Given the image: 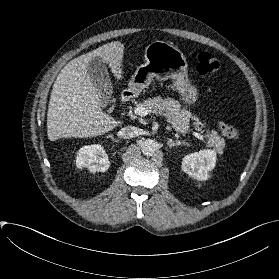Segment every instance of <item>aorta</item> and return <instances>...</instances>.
<instances>
[{
	"instance_id": "aorta-1",
	"label": "aorta",
	"mask_w": 279,
	"mask_h": 279,
	"mask_svg": "<svg viewBox=\"0 0 279 279\" xmlns=\"http://www.w3.org/2000/svg\"><path fill=\"white\" fill-rule=\"evenodd\" d=\"M141 150L144 155L152 156L157 150V143L152 139H146L141 144Z\"/></svg>"
}]
</instances>
